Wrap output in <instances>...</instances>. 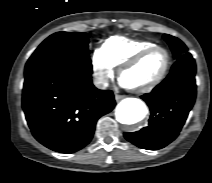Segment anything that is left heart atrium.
I'll return each instance as SVG.
<instances>
[{
	"label": "left heart atrium",
	"mask_w": 212,
	"mask_h": 183,
	"mask_svg": "<svg viewBox=\"0 0 212 183\" xmlns=\"http://www.w3.org/2000/svg\"><path fill=\"white\" fill-rule=\"evenodd\" d=\"M121 85L127 87V85L123 82V80H121Z\"/></svg>",
	"instance_id": "obj_1"
}]
</instances>
